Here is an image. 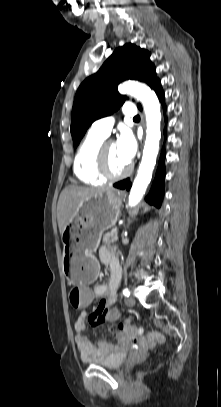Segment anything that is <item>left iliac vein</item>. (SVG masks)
Listing matches in <instances>:
<instances>
[{"label":"left iliac vein","instance_id":"4c4485c4","mask_svg":"<svg viewBox=\"0 0 221 407\" xmlns=\"http://www.w3.org/2000/svg\"><path fill=\"white\" fill-rule=\"evenodd\" d=\"M125 304L128 307H133L135 305V299L132 296H129L125 299Z\"/></svg>","mask_w":221,"mask_h":407}]
</instances>
